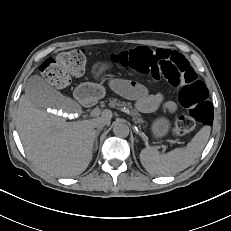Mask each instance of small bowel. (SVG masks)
Masks as SVG:
<instances>
[{"label": "small bowel", "mask_w": 231, "mask_h": 231, "mask_svg": "<svg viewBox=\"0 0 231 231\" xmlns=\"http://www.w3.org/2000/svg\"><path fill=\"white\" fill-rule=\"evenodd\" d=\"M108 85L113 91L120 95L138 99L139 107L147 111L155 109L161 102V97L159 95L147 96L145 90L134 82L110 78L108 80ZM168 108L174 110L175 106L171 103L168 105Z\"/></svg>", "instance_id": "c3829d8e"}]
</instances>
